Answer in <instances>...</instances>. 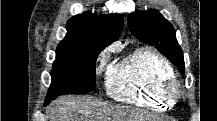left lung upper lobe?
Masks as SVG:
<instances>
[{"label":"left lung upper lobe","instance_id":"5c2ea615","mask_svg":"<svg viewBox=\"0 0 217 121\" xmlns=\"http://www.w3.org/2000/svg\"><path fill=\"white\" fill-rule=\"evenodd\" d=\"M128 26L137 39L154 45L184 74L183 53L177 42L175 30L157 10L138 11L130 14Z\"/></svg>","mask_w":217,"mask_h":121}]
</instances>
